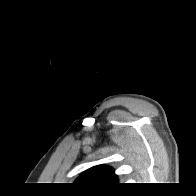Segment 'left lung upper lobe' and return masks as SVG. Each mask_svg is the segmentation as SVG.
<instances>
[{"instance_id": "left-lung-upper-lobe-1", "label": "left lung upper lobe", "mask_w": 196, "mask_h": 196, "mask_svg": "<svg viewBox=\"0 0 196 196\" xmlns=\"http://www.w3.org/2000/svg\"><path fill=\"white\" fill-rule=\"evenodd\" d=\"M76 183L88 186L112 185L117 183V176L112 168L98 165L85 171Z\"/></svg>"}]
</instances>
